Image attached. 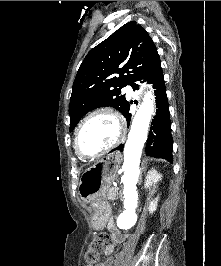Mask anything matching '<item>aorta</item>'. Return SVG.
I'll return each mask as SVG.
<instances>
[{
    "label": "aorta",
    "mask_w": 221,
    "mask_h": 266,
    "mask_svg": "<svg viewBox=\"0 0 221 266\" xmlns=\"http://www.w3.org/2000/svg\"><path fill=\"white\" fill-rule=\"evenodd\" d=\"M154 111L152 92L147 91L132 121L128 139L124 146V174L121 181L123 183L125 211L118 219V225L121 228H129L136 222L135 209L138 201L136 185L140 174V159Z\"/></svg>",
    "instance_id": "1"
}]
</instances>
